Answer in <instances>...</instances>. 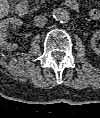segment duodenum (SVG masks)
<instances>
[{"label": "duodenum", "instance_id": "410a0bca", "mask_svg": "<svg viewBox=\"0 0 100 118\" xmlns=\"http://www.w3.org/2000/svg\"><path fill=\"white\" fill-rule=\"evenodd\" d=\"M66 4L71 9H77L78 3L76 0H67ZM28 5L25 0H19L15 6V12L18 16H24L27 13Z\"/></svg>", "mask_w": 100, "mask_h": 118}]
</instances>
